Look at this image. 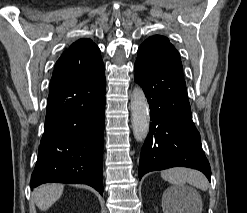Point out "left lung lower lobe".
<instances>
[{"mask_svg": "<svg viewBox=\"0 0 247 213\" xmlns=\"http://www.w3.org/2000/svg\"><path fill=\"white\" fill-rule=\"evenodd\" d=\"M135 81L150 106V131L141 150L139 179L150 171L189 167L210 181L211 169L193 121L181 61L136 60Z\"/></svg>", "mask_w": 247, "mask_h": 213, "instance_id": "1", "label": "left lung lower lobe"}]
</instances>
